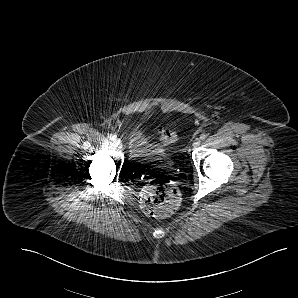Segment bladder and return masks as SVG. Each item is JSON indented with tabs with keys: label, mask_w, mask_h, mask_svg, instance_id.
Instances as JSON below:
<instances>
[{
	"label": "bladder",
	"mask_w": 298,
	"mask_h": 298,
	"mask_svg": "<svg viewBox=\"0 0 298 298\" xmlns=\"http://www.w3.org/2000/svg\"><path fill=\"white\" fill-rule=\"evenodd\" d=\"M130 156L144 162H163L170 158V151L163 143L156 142L141 124L133 126L128 140Z\"/></svg>",
	"instance_id": "1"
}]
</instances>
